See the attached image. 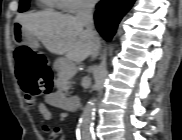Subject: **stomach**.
Returning a JSON list of instances; mask_svg holds the SVG:
<instances>
[{"instance_id":"0dacf381","label":"stomach","mask_w":182,"mask_h":140,"mask_svg":"<svg viewBox=\"0 0 182 140\" xmlns=\"http://www.w3.org/2000/svg\"><path fill=\"white\" fill-rule=\"evenodd\" d=\"M10 26L13 27L15 31V44H26L32 48L38 46V40L33 36V31H19L26 30V25L22 22H11Z\"/></svg>"}]
</instances>
